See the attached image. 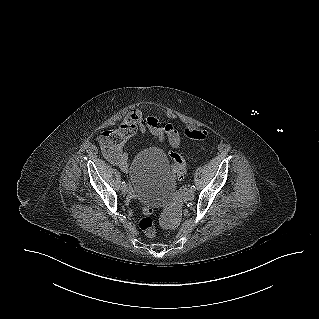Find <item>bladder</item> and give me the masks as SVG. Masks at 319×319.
<instances>
[{
  "label": "bladder",
  "mask_w": 319,
  "mask_h": 319,
  "mask_svg": "<svg viewBox=\"0 0 319 319\" xmlns=\"http://www.w3.org/2000/svg\"><path fill=\"white\" fill-rule=\"evenodd\" d=\"M129 177L136 198L151 209L167 204L175 191L170 160L159 148L138 153L130 165Z\"/></svg>",
  "instance_id": "1"
}]
</instances>
